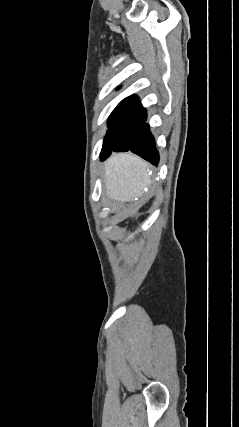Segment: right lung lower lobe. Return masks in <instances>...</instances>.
Returning <instances> with one entry per match:
<instances>
[{"mask_svg": "<svg viewBox=\"0 0 239 427\" xmlns=\"http://www.w3.org/2000/svg\"><path fill=\"white\" fill-rule=\"evenodd\" d=\"M126 151H132L150 163L157 165L159 161V155L155 148L154 138L149 131L148 124H145V122L142 124L127 149L117 150L115 152ZM105 159L106 158H102L101 160L103 161Z\"/></svg>", "mask_w": 239, "mask_h": 427, "instance_id": "right-lung-lower-lobe-1", "label": "right lung lower lobe"}]
</instances>
